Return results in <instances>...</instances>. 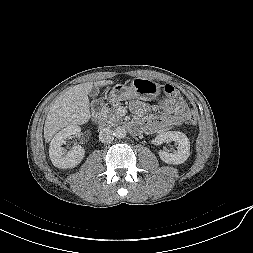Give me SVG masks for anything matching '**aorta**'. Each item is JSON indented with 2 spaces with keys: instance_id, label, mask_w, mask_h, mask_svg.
<instances>
[{
  "instance_id": "762f6f07",
  "label": "aorta",
  "mask_w": 253,
  "mask_h": 253,
  "mask_svg": "<svg viewBox=\"0 0 253 253\" xmlns=\"http://www.w3.org/2000/svg\"><path fill=\"white\" fill-rule=\"evenodd\" d=\"M113 134L116 138L123 139L126 137V129L122 126H118L117 128H115Z\"/></svg>"
}]
</instances>
